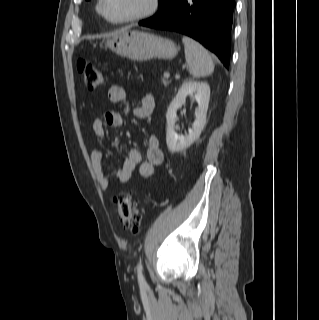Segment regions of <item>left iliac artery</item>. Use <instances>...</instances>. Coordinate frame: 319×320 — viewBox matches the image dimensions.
Returning <instances> with one entry per match:
<instances>
[{
	"mask_svg": "<svg viewBox=\"0 0 319 320\" xmlns=\"http://www.w3.org/2000/svg\"><path fill=\"white\" fill-rule=\"evenodd\" d=\"M143 267H142V263H141V260L139 261L138 265H137V276H138V282H139V285L144 287L147 285L146 283V280L143 276Z\"/></svg>",
	"mask_w": 319,
	"mask_h": 320,
	"instance_id": "1",
	"label": "left iliac artery"
}]
</instances>
